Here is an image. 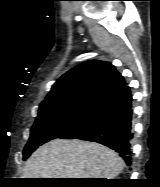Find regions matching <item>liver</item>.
Here are the masks:
<instances>
[{
    "label": "liver",
    "instance_id": "1",
    "mask_svg": "<svg viewBox=\"0 0 160 187\" xmlns=\"http://www.w3.org/2000/svg\"><path fill=\"white\" fill-rule=\"evenodd\" d=\"M124 161L113 150L94 142L54 139L27 160L23 178H115Z\"/></svg>",
    "mask_w": 160,
    "mask_h": 187
}]
</instances>
